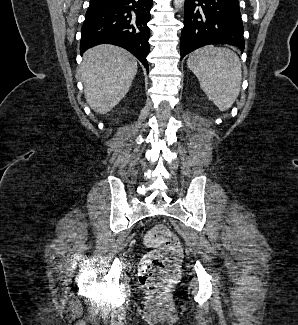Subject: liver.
Masks as SVG:
<instances>
[{
	"label": "liver",
	"mask_w": 298,
	"mask_h": 325,
	"mask_svg": "<svg viewBox=\"0 0 298 325\" xmlns=\"http://www.w3.org/2000/svg\"><path fill=\"white\" fill-rule=\"evenodd\" d=\"M137 72L135 56L113 44H98L83 54L81 80L90 108L98 114L112 110L128 92Z\"/></svg>",
	"instance_id": "liver-1"
}]
</instances>
